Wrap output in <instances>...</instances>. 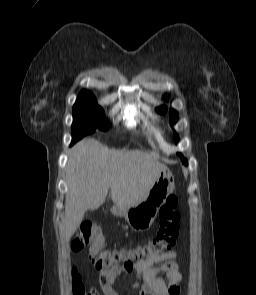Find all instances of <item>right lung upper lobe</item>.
<instances>
[{
    "mask_svg": "<svg viewBox=\"0 0 256 295\" xmlns=\"http://www.w3.org/2000/svg\"><path fill=\"white\" fill-rule=\"evenodd\" d=\"M87 100L95 101L94 95L91 92L82 90L79 93V96L76 102L87 101Z\"/></svg>",
    "mask_w": 256,
    "mask_h": 295,
    "instance_id": "1",
    "label": "right lung upper lobe"
}]
</instances>
